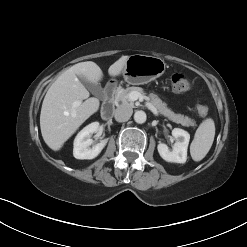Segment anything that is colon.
<instances>
[{
  "instance_id": "obj_1",
  "label": "colon",
  "mask_w": 247,
  "mask_h": 247,
  "mask_svg": "<svg viewBox=\"0 0 247 247\" xmlns=\"http://www.w3.org/2000/svg\"><path fill=\"white\" fill-rule=\"evenodd\" d=\"M171 86L176 92H185L191 88L190 80L182 73H175L171 76ZM197 112L201 117H206L208 114V106L204 103L197 105Z\"/></svg>"
}]
</instances>
